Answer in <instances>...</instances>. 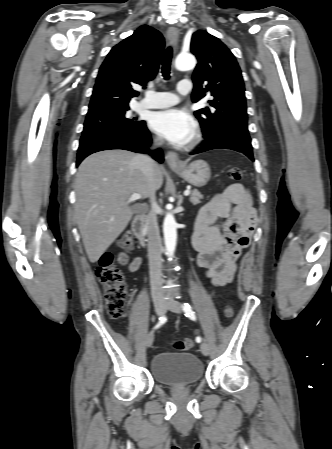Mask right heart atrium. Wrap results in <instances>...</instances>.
<instances>
[{"label":"right heart atrium","mask_w":332,"mask_h":449,"mask_svg":"<svg viewBox=\"0 0 332 449\" xmlns=\"http://www.w3.org/2000/svg\"><path fill=\"white\" fill-rule=\"evenodd\" d=\"M153 142H154L155 144H160V139L157 138V137H154V138H153Z\"/></svg>","instance_id":"obj_1"}]
</instances>
